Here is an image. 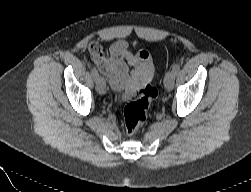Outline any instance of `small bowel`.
Segmentation results:
<instances>
[{
	"label": "small bowel",
	"instance_id": "1",
	"mask_svg": "<svg viewBox=\"0 0 251 192\" xmlns=\"http://www.w3.org/2000/svg\"><path fill=\"white\" fill-rule=\"evenodd\" d=\"M91 58L99 72L106 76L112 88L131 96L134 91L148 84L153 76V64L148 51L140 49L132 53L125 41L113 43L108 51L92 42L89 45ZM129 67L132 69L129 70Z\"/></svg>",
	"mask_w": 251,
	"mask_h": 192
}]
</instances>
